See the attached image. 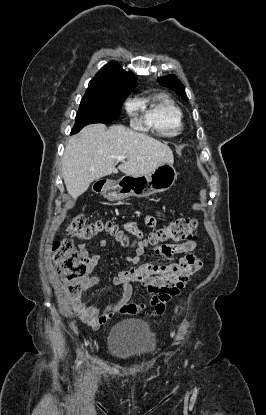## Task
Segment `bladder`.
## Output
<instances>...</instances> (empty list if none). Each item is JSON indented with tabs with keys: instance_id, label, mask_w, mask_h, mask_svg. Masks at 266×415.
Instances as JSON below:
<instances>
[{
	"instance_id": "31cf9c89",
	"label": "bladder",
	"mask_w": 266,
	"mask_h": 415,
	"mask_svg": "<svg viewBox=\"0 0 266 415\" xmlns=\"http://www.w3.org/2000/svg\"><path fill=\"white\" fill-rule=\"evenodd\" d=\"M107 349L121 360H137L152 356L157 349L155 333L142 319H124L117 322L107 337Z\"/></svg>"
}]
</instances>
